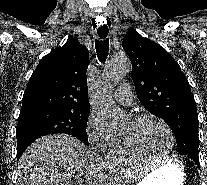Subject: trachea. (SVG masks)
Wrapping results in <instances>:
<instances>
[{
  "label": "trachea",
  "instance_id": "1",
  "mask_svg": "<svg viewBox=\"0 0 207 185\" xmlns=\"http://www.w3.org/2000/svg\"><path fill=\"white\" fill-rule=\"evenodd\" d=\"M97 33L100 38H103V41L96 40L95 41V48H96V53L98 55V59L100 62H104L107 55H108V50H109V40L106 39L108 35V27L107 25H102L98 28Z\"/></svg>",
  "mask_w": 207,
  "mask_h": 185
}]
</instances>
